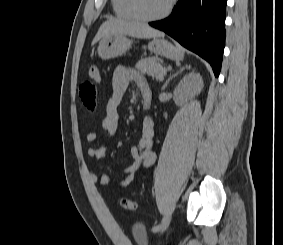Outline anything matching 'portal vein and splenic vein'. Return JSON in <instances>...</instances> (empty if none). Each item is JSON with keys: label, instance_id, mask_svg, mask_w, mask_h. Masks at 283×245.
I'll list each match as a JSON object with an SVG mask.
<instances>
[{"label": "portal vein and splenic vein", "instance_id": "portal-vein-and-splenic-vein-1", "mask_svg": "<svg viewBox=\"0 0 283 245\" xmlns=\"http://www.w3.org/2000/svg\"><path fill=\"white\" fill-rule=\"evenodd\" d=\"M163 73H164V74L166 73V70H165V69L163 70Z\"/></svg>", "mask_w": 283, "mask_h": 245}]
</instances>
